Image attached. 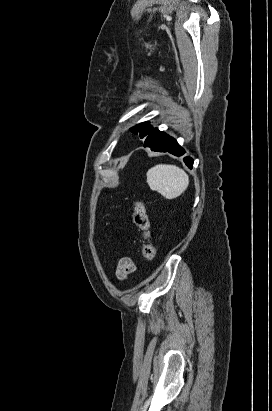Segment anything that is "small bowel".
<instances>
[{
    "mask_svg": "<svg viewBox=\"0 0 272 411\" xmlns=\"http://www.w3.org/2000/svg\"><path fill=\"white\" fill-rule=\"evenodd\" d=\"M136 271V264L129 256L122 257L116 268V276L119 280L124 281L127 277Z\"/></svg>",
    "mask_w": 272,
    "mask_h": 411,
    "instance_id": "c3829d8e",
    "label": "small bowel"
}]
</instances>
